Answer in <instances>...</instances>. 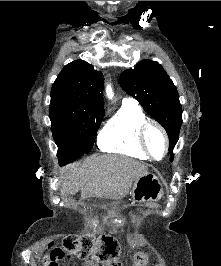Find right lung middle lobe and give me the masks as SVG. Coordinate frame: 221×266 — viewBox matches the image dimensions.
<instances>
[{
	"label": "right lung middle lobe",
	"instance_id": "1",
	"mask_svg": "<svg viewBox=\"0 0 221 266\" xmlns=\"http://www.w3.org/2000/svg\"><path fill=\"white\" fill-rule=\"evenodd\" d=\"M49 116L59 163L66 164L93 147L104 113H85L70 99L51 97Z\"/></svg>",
	"mask_w": 221,
	"mask_h": 266
}]
</instances>
